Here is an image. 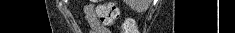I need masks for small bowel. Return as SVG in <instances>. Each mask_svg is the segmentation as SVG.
Masks as SVG:
<instances>
[{
	"mask_svg": "<svg viewBox=\"0 0 235 33\" xmlns=\"http://www.w3.org/2000/svg\"><path fill=\"white\" fill-rule=\"evenodd\" d=\"M84 13L89 25L90 33H112L110 28L101 23L100 19L97 16L94 4H88L84 8Z\"/></svg>",
	"mask_w": 235,
	"mask_h": 33,
	"instance_id": "small-bowel-1",
	"label": "small bowel"
}]
</instances>
